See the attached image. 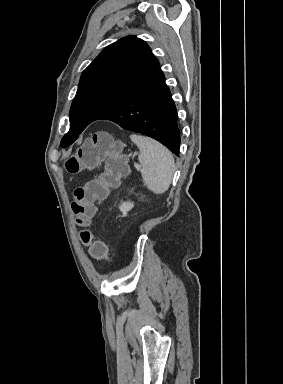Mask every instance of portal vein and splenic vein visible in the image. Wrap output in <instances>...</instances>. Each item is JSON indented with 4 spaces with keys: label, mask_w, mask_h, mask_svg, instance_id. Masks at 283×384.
<instances>
[{
    "label": "portal vein and splenic vein",
    "mask_w": 283,
    "mask_h": 384,
    "mask_svg": "<svg viewBox=\"0 0 283 384\" xmlns=\"http://www.w3.org/2000/svg\"><path fill=\"white\" fill-rule=\"evenodd\" d=\"M135 168H137V170H140L141 166H138V164H136Z\"/></svg>",
    "instance_id": "portal-vein-and-splenic-vein-1"
}]
</instances>
